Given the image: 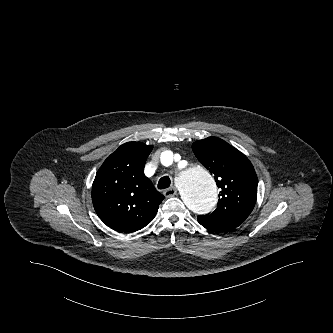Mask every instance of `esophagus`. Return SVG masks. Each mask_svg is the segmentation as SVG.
Segmentation results:
<instances>
[{
    "label": "esophagus",
    "instance_id": "obj_1",
    "mask_svg": "<svg viewBox=\"0 0 333 333\" xmlns=\"http://www.w3.org/2000/svg\"><path fill=\"white\" fill-rule=\"evenodd\" d=\"M175 195H177V190L175 187H170L164 191V196L166 198L174 197Z\"/></svg>",
    "mask_w": 333,
    "mask_h": 333
}]
</instances>
